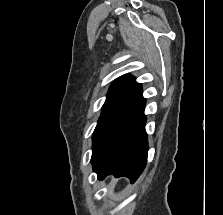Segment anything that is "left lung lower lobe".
Listing matches in <instances>:
<instances>
[{
    "label": "left lung lower lobe",
    "mask_w": 223,
    "mask_h": 215,
    "mask_svg": "<svg viewBox=\"0 0 223 215\" xmlns=\"http://www.w3.org/2000/svg\"><path fill=\"white\" fill-rule=\"evenodd\" d=\"M145 99L134 106L110 131L91 159L94 172L102 180L107 175L126 176L133 183L147 162Z\"/></svg>",
    "instance_id": "obj_1"
}]
</instances>
